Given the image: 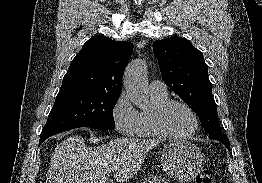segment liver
<instances>
[{"label":"liver","instance_id":"obj_1","mask_svg":"<svg viewBox=\"0 0 262 183\" xmlns=\"http://www.w3.org/2000/svg\"><path fill=\"white\" fill-rule=\"evenodd\" d=\"M161 141L116 138L96 148H88L82 136H70L52 153L47 183H112L106 174L114 171L118 182L132 178L146 154Z\"/></svg>","mask_w":262,"mask_h":183}]
</instances>
